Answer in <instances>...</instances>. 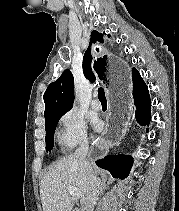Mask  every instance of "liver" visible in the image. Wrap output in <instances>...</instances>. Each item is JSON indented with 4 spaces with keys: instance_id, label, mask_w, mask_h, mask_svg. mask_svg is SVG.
Segmentation results:
<instances>
[{
    "instance_id": "6515ba94",
    "label": "liver",
    "mask_w": 179,
    "mask_h": 211,
    "mask_svg": "<svg viewBox=\"0 0 179 211\" xmlns=\"http://www.w3.org/2000/svg\"><path fill=\"white\" fill-rule=\"evenodd\" d=\"M81 193L83 205L90 189L84 172L73 154L63 157L52 165L40 183V197L43 211H72L73 199L67 187Z\"/></svg>"
}]
</instances>
